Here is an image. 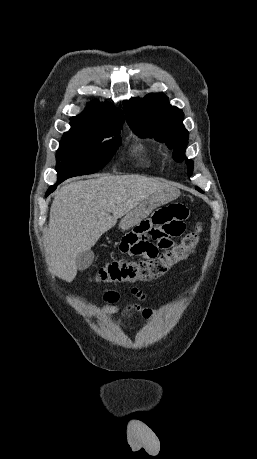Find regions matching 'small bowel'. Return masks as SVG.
Segmentation results:
<instances>
[{"mask_svg":"<svg viewBox=\"0 0 257 459\" xmlns=\"http://www.w3.org/2000/svg\"><path fill=\"white\" fill-rule=\"evenodd\" d=\"M189 218V207L182 200H176L174 205H155L150 217H143L142 223H134L133 230H128L123 239L117 240L119 255L129 258L130 261H155L159 251L172 249L173 240L177 236L188 234V229L183 225ZM131 294L138 300L143 299L142 292L137 288H132ZM119 298L120 294L116 291L106 292L104 299L107 305L102 312L110 314L120 311V307L116 305ZM133 313H139L146 320L154 315L151 308L139 303L128 305L122 310L123 317Z\"/></svg>","mask_w":257,"mask_h":459,"instance_id":"small-bowel-1","label":"small bowel"}]
</instances>
